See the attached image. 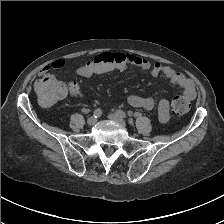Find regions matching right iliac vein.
Here are the masks:
<instances>
[{"label":"right iliac vein","mask_w":224,"mask_h":224,"mask_svg":"<svg viewBox=\"0 0 224 224\" xmlns=\"http://www.w3.org/2000/svg\"><path fill=\"white\" fill-rule=\"evenodd\" d=\"M96 122H97V119L95 117H90L87 120V123L91 126L94 125Z\"/></svg>","instance_id":"63e3f726"}]
</instances>
